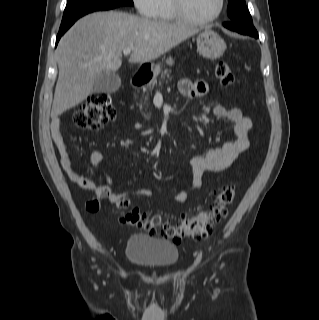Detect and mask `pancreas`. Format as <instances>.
<instances>
[{
	"instance_id": "cf45deb5",
	"label": "pancreas",
	"mask_w": 319,
	"mask_h": 320,
	"mask_svg": "<svg viewBox=\"0 0 319 320\" xmlns=\"http://www.w3.org/2000/svg\"><path fill=\"white\" fill-rule=\"evenodd\" d=\"M171 73V70L165 69L163 73L161 74V80H165V78H169V74ZM158 81L156 79H152L147 85L143 88V93L145 94V101L148 100L149 98V93L152 92V90L155 88L157 85ZM159 83H161L159 81Z\"/></svg>"
}]
</instances>
